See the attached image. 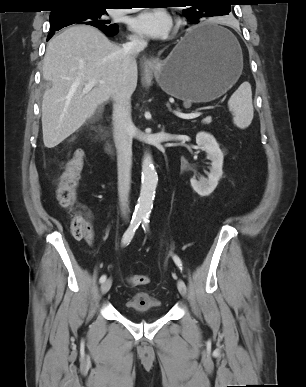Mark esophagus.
<instances>
[{
	"label": "esophagus",
	"mask_w": 306,
	"mask_h": 387,
	"mask_svg": "<svg viewBox=\"0 0 306 387\" xmlns=\"http://www.w3.org/2000/svg\"><path fill=\"white\" fill-rule=\"evenodd\" d=\"M157 62H158V59L153 57V56L149 57V59H148L149 65H155Z\"/></svg>",
	"instance_id": "1"
}]
</instances>
